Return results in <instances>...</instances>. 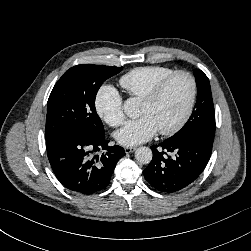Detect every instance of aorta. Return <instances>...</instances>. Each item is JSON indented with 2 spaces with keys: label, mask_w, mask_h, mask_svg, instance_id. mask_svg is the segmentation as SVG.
<instances>
[{
  "label": "aorta",
  "mask_w": 251,
  "mask_h": 251,
  "mask_svg": "<svg viewBox=\"0 0 251 251\" xmlns=\"http://www.w3.org/2000/svg\"><path fill=\"white\" fill-rule=\"evenodd\" d=\"M123 110L129 117H133L137 112V102L134 98H129L124 102ZM153 154L149 147H139L135 151V158L141 164H149L152 160Z\"/></svg>",
  "instance_id": "aorta-1"
}]
</instances>
